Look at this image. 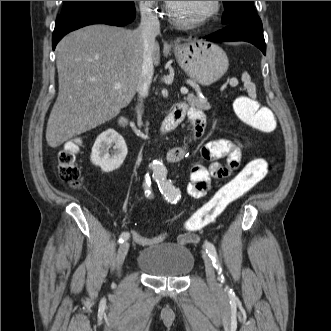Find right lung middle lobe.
Instances as JSON below:
<instances>
[{"instance_id":"obj_1","label":"right lung middle lobe","mask_w":331,"mask_h":331,"mask_svg":"<svg viewBox=\"0 0 331 331\" xmlns=\"http://www.w3.org/2000/svg\"><path fill=\"white\" fill-rule=\"evenodd\" d=\"M115 2H121V1H64L63 9L60 16L72 13L74 11L80 10L88 6L100 5L105 3H115Z\"/></svg>"}]
</instances>
